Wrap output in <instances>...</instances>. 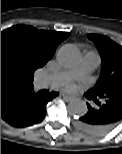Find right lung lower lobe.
Segmentation results:
<instances>
[{
	"mask_svg": "<svg viewBox=\"0 0 122 154\" xmlns=\"http://www.w3.org/2000/svg\"><path fill=\"white\" fill-rule=\"evenodd\" d=\"M57 95L36 93L33 87L18 91L1 102V118L14 127L39 123L45 117L47 103Z\"/></svg>",
	"mask_w": 122,
	"mask_h": 154,
	"instance_id": "obj_1",
	"label": "right lung lower lobe"
}]
</instances>
